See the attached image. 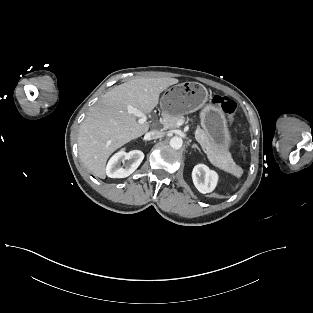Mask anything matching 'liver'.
<instances>
[{"mask_svg":"<svg viewBox=\"0 0 313 313\" xmlns=\"http://www.w3.org/2000/svg\"><path fill=\"white\" fill-rule=\"evenodd\" d=\"M176 83V78H136L103 95L78 134L79 156L91 173L104 179L109 156L148 131L149 123L140 124L137 116L128 113V105L148 114L158 105L160 93Z\"/></svg>","mask_w":313,"mask_h":313,"instance_id":"6515ba94","label":"liver"}]
</instances>
